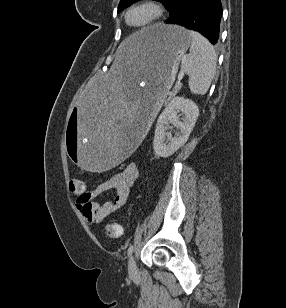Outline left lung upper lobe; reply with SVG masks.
Returning <instances> with one entry per match:
<instances>
[{
	"instance_id": "1",
	"label": "left lung upper lobe",
	"mask_w": 286,
	"mask_h": 308,
	"mask_svg": "<svg viewBox=\"0 0 286 308\" xmlns=\"http://www.w3.org/2000/svg\"><path fill=\"white\" fill-rule=\"evenodd\" d=\"M139 1V0H120L119 6H118V12H121L123 9H125L126 7L130 6L132 3ZM161 2L164 7L169 10V7L171 5V2L173 0H156Z\"/></svg>"
}]
</instances>
